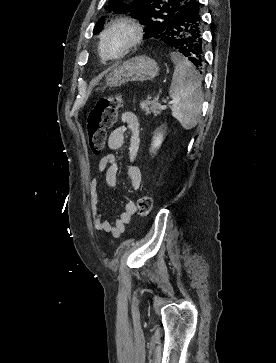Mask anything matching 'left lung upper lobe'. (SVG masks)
I'll use <instances>...</instances> for the list:
<instances>
[{
  "mask_svg": "<svg viewBox=\"0 0 276 363\" xmlns=\"http://www.w3.org/2000/svg\"><path fill=\"white\" fill-rule=\"evenodd\" d=\"M191 0H134L132 6L124 5L121 1H110L109 4L117 11L127 12L131 9L133 17L145 25V38H157L168 29V24L173 22L179 10ZM112 10V8H107ZM104 24L99 19L94 28V33L99 32Z\"/></svg>",
  "mask_w": 276,
  "mask_h": 363,
  "instance_id": "5c2ea615",
  "label": "left lung upper lobe"
}]
</instances>
